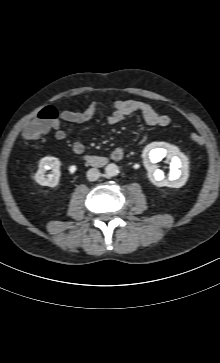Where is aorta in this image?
<instances>
[{
	"label": "aorta",
	"instance_id": "aorta-1",
	"mask_svg": "<svg viewBox=\"0 0 220 363\" xmlns=\"http://www.w3.org/2000/svg\"><path fill=\"white\" fill-rule=\"evenodd\" d=\"M105 173L109 177H114L118 175L119 167L114 163H110L105 167Z\"/></svg>",
	"mask_w": 220,
	"mask_h": 363
}]
</instances>
